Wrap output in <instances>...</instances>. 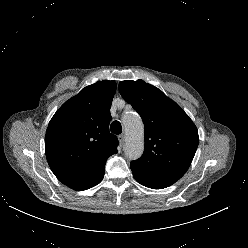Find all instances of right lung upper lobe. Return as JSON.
<instances>
[{
    "mask_svg": "<svg viewBox=\"0 0 248 248\" xmlns=\"http://www.w3.org/2000/svg\"><path fill=\"white\" fill-rule=\"evenodd\" d=\"M114 81H98L66 101L49 122L45 136L48 164L60 182L82 191L104 177L107 158L119 144L109 132Z\"/></svg>",
    "mask_w": 248,
    "mask_h": 248,
    "instance_id": "cb5924a9",
    "label": "right lung upper lobe"
}]
</instances>
